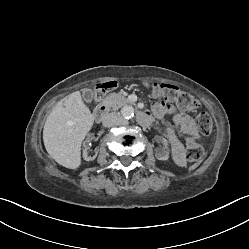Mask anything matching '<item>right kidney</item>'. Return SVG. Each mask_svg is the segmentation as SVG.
<instances>
[{"instance_id":"obj_1","label":"right kidney","mask_w":249,"mask_h":249,"mask_svg":"<svg viewBox=\"0 0 249 249\" xmlns=\"http://www.w3.org/2000/svg\"><path fill=\"white\" fill-rule=\"evenodd\" d=\"M96 140H97V135L95 133H90L88 135L87 141H84L82 143V149L84 150L83 156H84V159L87 161H92L97 156V154H95L94 156L88 155V153H92L95 150V145L93 143H90V142H95Z\"/></svg>"}]
</instances>
